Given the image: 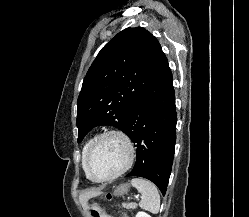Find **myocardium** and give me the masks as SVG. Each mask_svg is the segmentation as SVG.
I'll list each match as a JSON object with an SVG mask.
<instances>
[{
	"mask_svg": "<svg viewBox=\"0 0 249 217\" xmlns=\"http://www.w3.org/2000/svg\"><path fill=\"white\" fill-rule=\"evenodd\" d=\"M108 136H116L119 137L126 145L127 150H128V157L126 160L125 165L116 173L108 176V177H104V178H98L95 177L91 170H90V166H89V161H90V157L92 155V152L95 148V146L97 145V143L102 140L105 137ZM135 147L134 144L131 140V138L123 131L118 130V129H109V130H105L102 133L98 134L90 143L88 150L86 152L85 155V160H84V167H85V171L86 174L88 175V177L93 180L94 182H109L112 181L120 176H122L123 174H125L133 165L134 159H135Z\"/></svg>",
	"mask_w": 249,
	"mask_h": 217,
	"instance_id": "f54148a6",
	"label": "myocardium"
}]
</instances>
